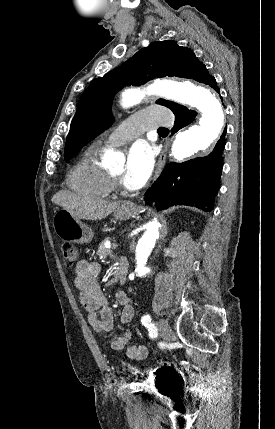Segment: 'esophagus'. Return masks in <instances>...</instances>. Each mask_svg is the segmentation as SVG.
<instances>
[{
  "mask_svg": "<svg viewBox=\"0 0 275 429\" xmlns=\"http://www.w3.org/2000/svg\"><path fill=\"white\" fill-rule=\"evenodd\" d=\"M165 161H166V150L163 149L159 155V158H158V161L156 164V168H155V172H154V176H153V181H155L160 176L162 169L165 165Z\"/></svg>",
  "mask_w": 275,
  "mask_h": 429,
  "instance_id": "1",
  "label": "esophagus"
}]
</instances>
